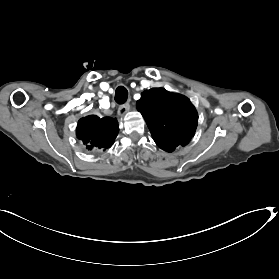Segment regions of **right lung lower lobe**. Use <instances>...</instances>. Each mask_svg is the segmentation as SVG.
<instances>
[{"label": "right lung lower lobe", "mask_w": 279, "mask_h": 279, "mask_svg": "<svg viewBox=\"0 0 279 279\" xmlns=\"http://www.w3.org/2000/svg\"><path fill=\"white\" fill-rule=\"evenodd\" d=\"M118 132L117 120L109 117L100 119L95 115H90L79 120L76 136L83 142L86 149L97 151L111 147Z\"/></svg>", "instance_id": "obj_1"}]
</instances>
